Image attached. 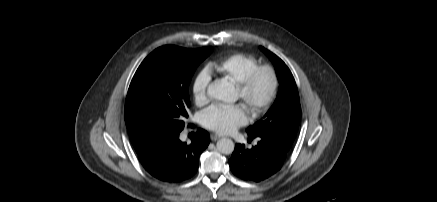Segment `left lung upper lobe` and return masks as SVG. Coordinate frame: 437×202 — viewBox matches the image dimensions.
Instances as JSON below:
<instances>
[{
    "instance_id": "obj_1",
    "label": "left lung upper lobe",
    "mask_w": 437,
    "mask_h": 202,
    "mask_svg": "<svg viewBox=\"0 0 437 202\" xmlns=\"http://www.w3.org/2000/svg\"><path fill=\"white\" fill-rule=\"evenodd\" d=\"M271 59L279 80L277 98L264 115L254 125L247 128V133L269 138L289 150L296 137L301 118V106L294 77L286 64L275 54L260 47Z\"/></svg>"
}]
</instances>
